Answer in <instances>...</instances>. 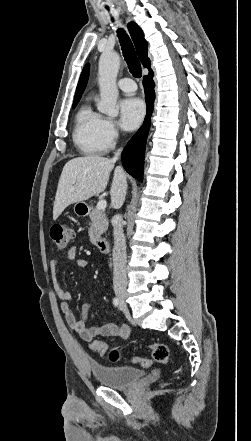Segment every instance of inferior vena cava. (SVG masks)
<instances>
[{"instance_id": "obj_1", "label": "inferior vena cava", "mask_w": 251, "mask_h": 441, "mask_svg": "<svg viewBox=\"0 0 251 441\" xmlns=\"http://www.w3.org/2000/svg\"><path fill=\"white\" fill-rule=\"evenodd\" d=\"M121 153V149L115 153L112 161L115 162ZM113 286L116 294L124 293L127 286L126 277V239L123 233L122 216L117 215L113 220Z\"/></svg>"}]
</instances>
